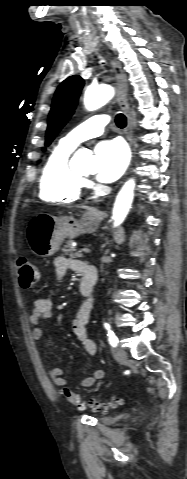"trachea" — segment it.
<instances>
[{
  "mask_svg": "<svg viewBox=\"0 0 187 479\" xmlns=\"http://www.w3.org/2000/svg\"><path fill=\"white\" fill-rule=\"evenodd\" d=\"M115 123L118 127L124 128L126 126V117L124 114H117L115 117Z\"/></svg>",
  "mask_w": 187,
  "mask_h": 479,
  "instance_id": "trachea-1",
  "label": "trachea"
}]
</instances>
